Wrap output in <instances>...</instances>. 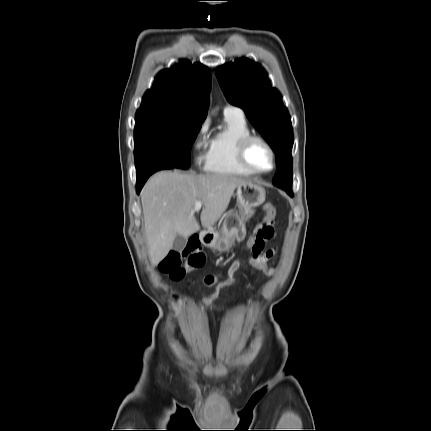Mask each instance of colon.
Wrapping results in <instances>:
<instances>
[{"label": "colon", "instance_id": "1", "mask_svg": "<svg viewBox=\"0 0 431 431\" xmlns=\"http://www.w3.org/2000/svg\"><path fill=\"white\" fill-rule=\"evenodd\" d=\"M266 213L264 219L257 225L255 234H250L246 238V250L251 252L254 249L256 236L260 237L269 232L270 225L274 222L276 209L272 203L264 205ZM256 235V236H255ZM204 262V255L198 251V244L190 242L181 251H171L160 263V269L168 273L173 279L183 278L188 271L197 268Z\"/></svg>", "mask_w": 431, "mask_h": 431}]
</instances>
